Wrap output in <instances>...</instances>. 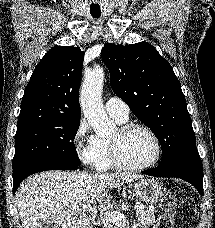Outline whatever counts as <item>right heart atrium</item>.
<instances>
[{
  "label": "right heart atrium",
  "instance_id": "right-heart-atrium-1",
  "mask_svg": "<svg viewBox=\"0 0 215 228\" xmlns=\"http://www.w3.org/2000/svg\"><path fill=\"white\" fill-rule=\"evenodd\" d=\"M72 144L77 158L84 164H93L97 155V138L91 133L88 121L81 117L72 135Z\"/></svg>",
  "mask_w": 215,
  "mask_h": 228
}]
</instances>
